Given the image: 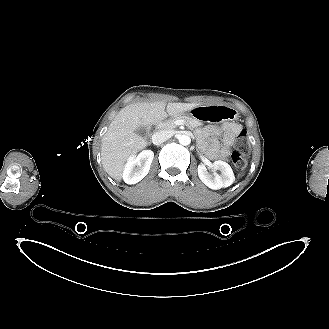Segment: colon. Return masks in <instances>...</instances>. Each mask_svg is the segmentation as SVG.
<instances>
[{
	"instance_id": "colon-1",
	"label": "colon",
	"mask_w": 329,
	"mask_h": 329,
	"mask_svg": "<svg viewBox=\"0 0 329 329\" xmlns=\"http://www.w3.org/2000/svg\"><path fill=\"white\" fill-rule=\"evenodd\" d=\"M249 151V143L247 132L241 131L237 138V150L232 154L231 159L238 170H242L246 166L247 156Z\"/></svg>"
}]
</instances>
